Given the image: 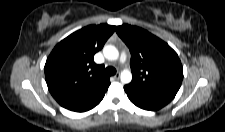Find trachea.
Listing matches in <instances>:
<instances>
[{
	"instance_id": "1",
	"label": "trachea",
	"mask_w": 225,
	"mask_h": 132,
	"mask_svg": "<svg viewBox=\"0 0 225 132\" xmlns=\"http://www.w3.org/2000/svg\"><path fill=\"white\" fill-rule=\"evenodd\" d=\"M105 74L108 75V76L115 75L116 69L114 67L109 66L105 69Z\"/></svg>"
}]
</instances>
